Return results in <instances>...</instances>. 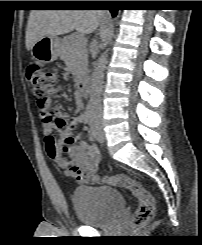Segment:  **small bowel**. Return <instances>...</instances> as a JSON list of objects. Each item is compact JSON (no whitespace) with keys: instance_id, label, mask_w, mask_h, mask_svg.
Returning a JSON list of instances; mask_svg holds the SVG:
<instances>
[{"instance_id":"obj_1","label":"small bowel","mask_w":202,"mask_h":245,"mask_svg":"<svg viewBox=\"0 0 202 245\" xmlns=\"http://www.w3.org/2000/svg\"><path fill=\"white\" fill-rule=\"evenodd\" d=\"M83 107V102L80 98H76V108L81 110ZM54 113L56 116H65V112L61 106H56L54 108ZM75 120V126L77 123L83 122L82 115L77 117ZM74 124H68L63 129L65 133L71 132L73 130ZM42 131L44 135V141L46 144V149L48 155L60 162V164L65 167V158L59 154L62 147L65 146L63 142H57L55 135L53 134V124L42 121ZM88 132L87 129H84ZM55 148L58 153L55 156H51V150ZM69 155L71 157L72 163L74 164L73 169L65 168V175L67 177L74 178L76 181L84 184H95L99 178L97 175V170L100 163L99 150L95 145L89 144L88 142L75 137L71 145L68 146Z\"/></svg>"}]
</instances>
